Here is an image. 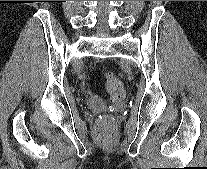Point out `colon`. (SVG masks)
Listing matches in <instances>:
<instances>
[{
    "label": "colon",
    "mask_w": 207,
    "mask_h": 169,
    "mask_svg": "<svg viewBox=\"0 0 207 169\" xmlns=\"http://www.w3.org/2000/svg\"><path fill=\"white\" fill-rule=\"evenodd\" d=\"M105 89L113 102H119L125 96L124 85L113 72L108 71L105 74ZM95 134L102 143L112 142L116 136V125L113 118L106 116L97 122Z\"/></svg>",
    "instance_id": "5ec220e1"
}]
</instances>
